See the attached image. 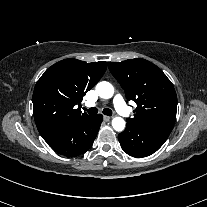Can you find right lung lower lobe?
<instances>
[{
	"label": "right lung lower lobe",
	"instance_id": "obj_1",
	"mask_svg": "<svg viewBox=\"0 0 207 207\" xmlns=\"http://www.w3.org/2000/svg\"><path fill=\"white\" fill-rule=\"evenodd\" d=\"M102 120L101 114L89 116L65 126L45 140L61 155L74 157L83 154L92 146Z\"/></svg>",
	"mask_w": 207,
	"mask_h": 207
}]
</instances>
